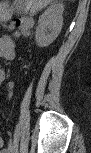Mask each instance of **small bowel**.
I'll return each mask as SVG.
<instances>
[{
    "instance_id": "obj_1",
    "label": "small bowel",
    "mask_w": 91,
    "mask_h": 153,
    "mask_svg": "<svg viewBox=\"0 0 91 153\" xmlns=\"http://www.w3.org/2000/svg\"><path fill=\"white\" fill-rule=\"evenodd\" d=\"M27 35L28 34V30L27 31H24V30H21L20 33H16V35ZM1 54L3 55V57L5 58H9L13 55V42L10 43L9 45H3L1 46ZM0 79L1 80H4L5 79V74L4 73H0ZM12 86L10 85V88ZM13 96V93L12 91L10 90L8 93H7V98L8 99H11ZM8 136H9V145L8 147L4 148L2 151L4 153H10L12 152V138H11V133L8 131L7 132Z\"/></svg>"
}]
</instances>
